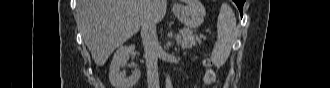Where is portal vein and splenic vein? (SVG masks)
<instances>
[{
    "instance_id": "1",
    "label": "portal vein and splenic vein",
    "mask_w": 330,
    "mask_h": 88,
    "mask_svg": "<svg viewBox=\"0 0 330 88\" xmlns=\"http://www.w3.org/2000/svg\"><path fill=\"white\" fill-rule=\"evenodd\" d=\"M176 40L179 41L180 40V36H177Z\"/></svg>"
}]
</instances>
